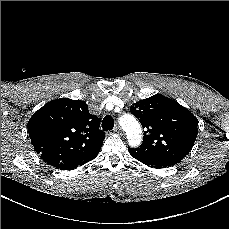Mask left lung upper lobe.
Wrapping results in <instances>:
<instances>
[{
	"label": "left lung upper lobe",
	"mask_w": 229,
	"mask_h": 229,
	"mask_svg": "<svg viewBox=\"0 0 229 229\" xmlns=\"http://www.w3.org/2000/svg\"><path fill=\"white\" fill-rule=\"evenodd\" d=\"M130 111L145 128L141 146L128 148L136 159L176 164L192 149L198 120L177 101L157 94L132 104Z\"/></svg>",
	"instance_id": "1"
}]
</instances>
